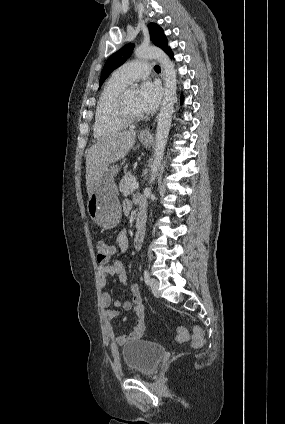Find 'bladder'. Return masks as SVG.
I'll use <instances>...</instances> for the list:
<instances>
[{"mask_svg": "<svg viewBox=\"0 0 285 424\" xmlns=\"http://www.w3.org/2000/svg\"><path fill=\"white\" fill-rule=\"evenodd\" d=\"M163 354V347L147 340H133L124 344L120 349L126 369L132 374L154 372Z\"/></svg>", "mask_w": 285, "mask_h": 424, "instance_id": "31cf9c89", "label": "bladder"}]
</instances>
